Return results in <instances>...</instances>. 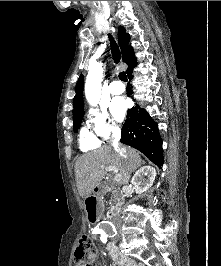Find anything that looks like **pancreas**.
<instances>
[{
  "mask_svg": "<svg viewBox=\"0 0 221 266\" xmlns=\"http://www.w3.org/2000/svg\"><path fill=\"white\" fill-rule=\"evenodd\" d=\"M112 201L115 204L112 209L117 210L122 205L123 198L116 191H113Z\"/></svg>",
  "mask_w": 221,
  "mask_h": 266,
  "instance_id": "cf45deb5",
  "label": "pancreas"
}]
</instances>
